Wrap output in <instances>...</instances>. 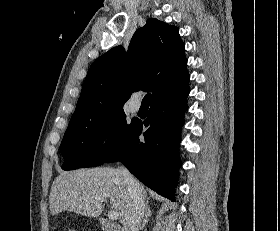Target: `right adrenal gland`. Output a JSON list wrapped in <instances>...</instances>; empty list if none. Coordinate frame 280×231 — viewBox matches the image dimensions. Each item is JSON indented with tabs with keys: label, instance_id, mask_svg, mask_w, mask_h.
Returning <instances> with one entry per match:
<instances>
[{
	"label": "right adrenal gland",
	"instance_id": "1",
	"mask_svg": "<svg viewBox=\"0 0 280 231\" xmlns=\"http://www.w3.org/2000/svg\"><path fill=\"white\" fill-rule=\"evenodd\" d=\"M151 215V209L149 207V205H146V209H145V217H143V221L141 223V227L140 229H144L149 217Z\"/></svg>",
	"mask_w": 280,
	"mask_h": 231
}]
</instances>
